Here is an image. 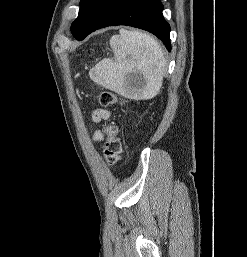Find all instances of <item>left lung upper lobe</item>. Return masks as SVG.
Wrapping results in <instances>:
<instances>
[{"label": "left lung upper lobe", "mask_w": 247, "mask_h": 257, "mask_svg": "<svg viewBox=\"0 0 247 257\" xmlns=\"http://www.w3.org/2000/svg\"><path fill=\"white\" fill-rule=\"evenodd\" d=\"M97 0H81L80 1V10L78 17L75 19V21L71 25V32L74 35H76L82 28L83 24L87 20L94 4Z\"/></svg>", "instance_id": "left-lung-upper-lobe-1"}]
</instances>
